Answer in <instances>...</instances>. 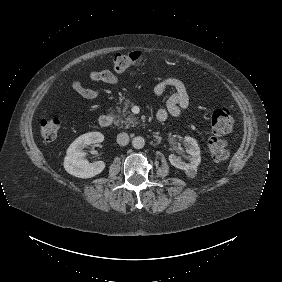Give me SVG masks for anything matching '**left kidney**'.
<instances>
[{
	"instance_id": "obj_1",
	"label": "left kidney",
	"mask_w": 282,
	"mask_h": 282,
	"mask_svg": "<svg viewBox=\"0 0 282 282\" xmlns=\"http://www.w3.org/2000/svg\"><path fill=\"white\" fill-rule=\"evenodd\" d=\"M184 146L186 152L191 156L190 163L183 162L180 157L174 154L169 155V161L174 167L184 170L189 178H194L197 174V167L201 162L200 148L196 139L190 136L184 137Z\"/></svg>"
}]
</instances>
